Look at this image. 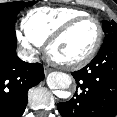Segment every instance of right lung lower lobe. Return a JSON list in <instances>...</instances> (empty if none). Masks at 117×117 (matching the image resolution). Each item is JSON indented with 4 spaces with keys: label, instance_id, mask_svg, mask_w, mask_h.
I'll list each match as a JSON object with an SVG mask.
<instances>
[{
    "label": "right lung lower lobe",
    "instance_id": "1",
    "mask_svg": "<svg viewBox=\"0 0 117 117\" xmlns=\"http://www.w3.org/2000/svg\"><path fill=\"white\" fill-rule=\"evenodd\" d=\"M15 26L0 24V117H20L28 90L44 79L40 63H26L16 55Z\"/></svg>",
    "mask_w": 117,
    "mask_h": 117
}]
</instances>
